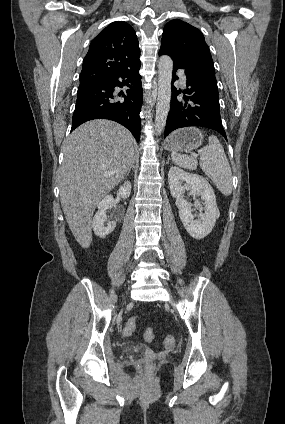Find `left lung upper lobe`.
I'll return each mask as SVG.
<instances>
[{"instance_id": "1", "label": "left lung upper lobe", "mask_w": 285, "mask_h": 424, "mask_svg": "<svg viewBox=\"0 0 285 424\" xmlns=\"http://www.w3.org/2000/svg\"><path fill=\"white\" fill-rule=\"evenodd\" d=\"M161 48L183 62L205 61L213 64L202 32L179 19L168 22L163 31Z\"/></svg>"}]
</instances>
